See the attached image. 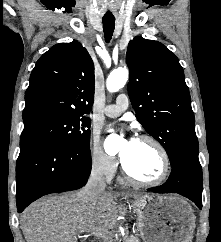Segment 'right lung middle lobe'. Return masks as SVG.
I'll use <instances>...</instances> for the list:
<instances>
[{"label": "right lung middle lobe", "mask_w": 221, "mask_h": 242, "mask_svg": "<svg viewBox=\"0 0 221 242\" xmlns=\"http://www.w3.org/2000/svg\"><path fill=\"white\" fill-rule=\"evenodd\" d=\"M90 119L82 115L50 118L24 125L21 138L48 137L76 147H90Z\"/></svg>", "instance_id": "dd1d6c3e"}]
</instances>
